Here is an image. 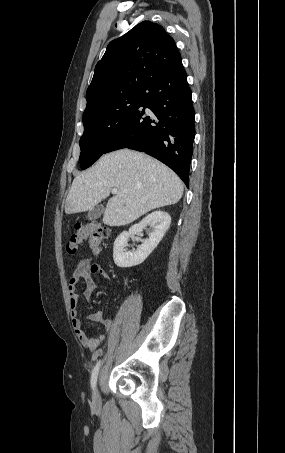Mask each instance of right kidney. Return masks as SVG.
Instances as JSON below:
<instances>
[{
    "mask_svg": "<svg viewBox=\"0 0 285 453\" xmlns=\"http://www.w3.org/2000/svg\"><path fill=\"white\" fill-rule=\"evenodd\" d=\"M171 224V217L164 211H155L148 214L138 224L133 225L128 232H122L113 246V259L121 268H129L141 264L157 247ZM152 227L149 238L134 251L127 252L126 247L130 237L139 234L147 226Z\"/></svg>",
    "mask_w": 285,
    "mask_h": 453,
    "instance_id": "ca27d5eb",
    "label": "right kidney"
}]
</instances>
